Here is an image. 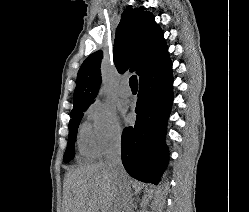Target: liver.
Instances as JSON below:
<instances>
[{"label":"liver","instance_id":"1","mask_svg":"<svg viewBox=\"0 0 249 212\" xmlns=\"http://www.w3.org/2000/svg\"><path fill=\"white\" fill-rule=\"evenodd\" d=\"M114 172L107 162L84 164L67 172L64 180L66 212H113L117 192Z\"/></svg>","mask_w":249,"mask_h":212}]
</instances>
